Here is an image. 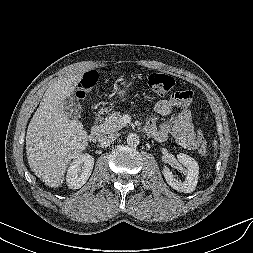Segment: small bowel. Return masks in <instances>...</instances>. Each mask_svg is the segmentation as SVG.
<instances>
[{"instance_id": "c3829d8e", "label": "small bowel", "mask_w": 253, "mask_h": 253, "mask_svg": "<svg viewBox=\"0 0 253 253\" xmlns=\"http://www.w3.org/2000/svg\"><path fill=\"white\" fill-rule=\"evenodd\" d=\"M188 105L189 103L179 101L174 97L158 101L154 107V111L158 116L171 114L175 106H179L180 110L171 118L159 124L155 116L149 117L145 124L146 131L161 142L167 140L171 134L183 147L191 150L197 149V136Z\"/></svg>"}]
</instances>
